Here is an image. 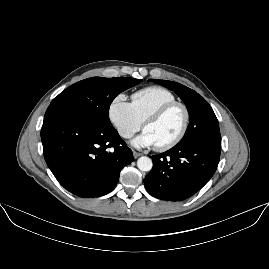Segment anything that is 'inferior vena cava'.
<instances>
[{"mask_svg":"<svg viewBox=\"0 0 269 269\" xmlns=\"http://www.w3.org/2000/svg\"><path fill=\"white\" fill-rule=\"evenodd\" d=\"M132 136H133V133L131 132L128 135H124L123 137H125V138H131Z\"/></svg>","mask_w":269,"mask_h":269,"instance_id":"1","label":"inferior vena cava"}]
</instances>
